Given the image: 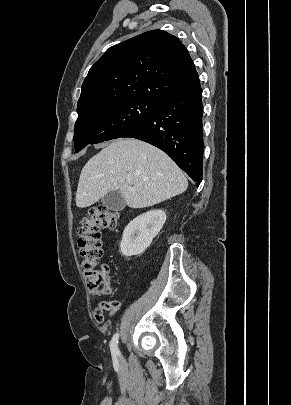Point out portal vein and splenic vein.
I'll list each match as a JSON object with an SVG mask.
<instances>
[{
	"label": "portal vein and splenic vein",
	"instance_id": "1",
	"mask_svg": "<svg viewBox=\"0 0 291 405\" xmlns=\"http://www.w3.org/2000/svg\"><path fill=\"white\" fill-rule=\"evenodd\" d=\"M127 182H130V178H127Z\"/></svg>",
	"mask_w": 291,
	"mask_h": 405
}]
</instances>
